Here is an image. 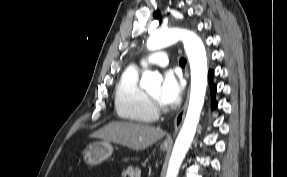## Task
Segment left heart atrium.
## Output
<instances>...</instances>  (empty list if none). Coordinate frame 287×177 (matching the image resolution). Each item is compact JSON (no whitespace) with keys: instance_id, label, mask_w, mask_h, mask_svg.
<instances>
[{"instance_id":"obj_1","label":"left heart atrium","mask_w":287,"mask_h":177,"mask_svg":"<svg viewBox=\"0 0 287 177\" xmlns=\"http://www.w3.org/2000/svg\"><path fill=\"white\" fill-rule=\"evenodd\" d=\"M183 83L177 78L173 71L164 73L163 82L160 87V100L164 105H172L178 101L183 92Z\"/></svg>"}]
</instances>
